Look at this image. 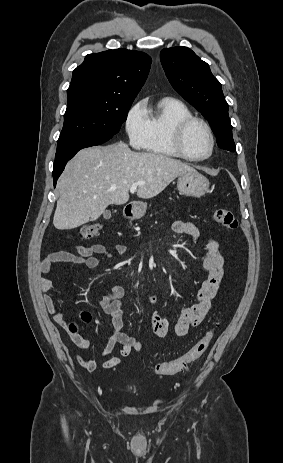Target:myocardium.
<instances>
[{"instance_id":"obj_1","label":"myocardium","mask_w":283,"mask_h":463,"mask_svg":"<svg viewBox=\"0 0 283 463\" xmlns=\"http://www.w3.org/2000/svg\"><path fill=\"white\" fill-rule=\"evenodd\" d=\"M195 123L201 124L206 129L210 137V143H211L210 151L207 155L203 157H194V156L189 155L184 147L185 134L187 130L189 129V127ZM172 143H173L174 150L176 151L179 157L187 161H190V162H202V161L208 160L214 154L215 146H216V138H215V134H214V131L211 125L206 120H204L203 118L197 117V116H191V117H188L182 120L175 127Z\"/></svg>"}]
</instances>
